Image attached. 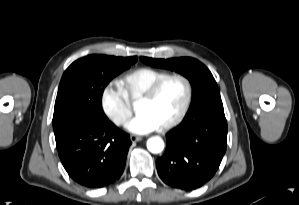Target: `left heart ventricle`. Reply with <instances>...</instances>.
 Instances as JSON below:
<instances>
[{
	"mask_svg": "<svg viewBox=\"0 0 299 205\" xmlns=\"http://www.w3.org/2000/svg\"><path fill=\"white\" fill-rule=\"evenodd\" d=\"M184 99V84L178 79H173L162 87L154 99L138 103L136 109L138 113L149 114L162 126L177 115Z\"/></svg>",
	"mask_w": 299,
	"mask_h": 205,
	"instance_id": "obj_1",
	"label": "left heart ventricle"
}]
</instances>
